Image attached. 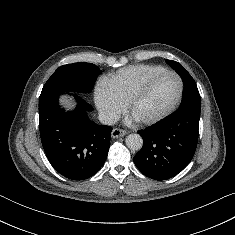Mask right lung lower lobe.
Returning a JSON list of instances; mask_svg holds the SVG:
<instances>
[{
	"mask_svg": "<svg viewBox=\"0 0 235 235\" xmlns=\"http://www.w3.org/2000/svg\"><path fill=\"white\" fill-rule=\"evenodd\" d=\"M60 94L39 100V128L43 148L53 168L72 180L93 176L104 164L112 128L97 125L87 116L92 106L73 94L77 108L65 112L58 105Z\"/></svg>",
	"mask_w": 235,
	"mask_h": 235,
	"instance_id": "obj_1",
	"label": "right lung lower lobe"
}]
</instances>
